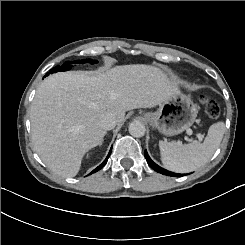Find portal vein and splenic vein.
<instances>
[{"label":"portal vein and splenic vein","mask_w":245,"mask_h":245,"mask_svg":"<svg viewBox=\"0 0 245 245\" xmlns=\"http://www.w3.org/2000/svg\"><path fill=\"white\" fill-rule=\"evenodd\" d=\"M186 132L188 133V135L196 136V131H193L191 128H187ZM198 136H199V141H202L203 134H199Z\"/></svg>","instance_id":"18ae733b"}]
</instances>
